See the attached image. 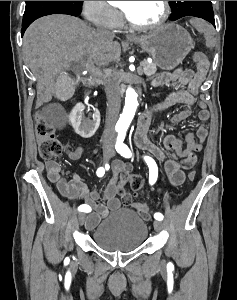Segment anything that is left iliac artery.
<instances>
[{
  "mask_svg": "<svg viewBox=\"0 0 237 300\" xmlns=\"http://www.w3.org/2000/svg\"><path fill=\"white\" fill-rule=\"evenodd\" d=\"M125 133H120L117 137V143L115 145L116 151L125 158H130L132 156V153L128 146L123 143L125 139ZM144 160L146 161L148 167H149V183L153 185L158 177V167L156 165V162L149 156H145ZM154 218L156 220H163V215L161 213H155ZM168 266H173L172 263H168Z\"/></svg>",
  "mask_w": 237,
  "mask_h": 300,
  "instance_id": "1",
  "label": "left iliac artery"
}]
</instances>
